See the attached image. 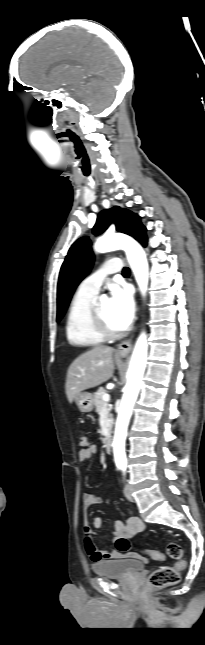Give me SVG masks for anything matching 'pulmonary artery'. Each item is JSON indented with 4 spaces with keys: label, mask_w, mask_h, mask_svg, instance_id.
<instances>
[{
    "label": "pulmonary artery",
    "mask_w": 205,
    "mask_h": 645,
    "mask_svg": "<svg viewBox=\"0 0 205 645\" xmlns=\"http://www.w3.org/2000/svg\"><path fill=\"white\" fill-rule=\"evenodd\" d=\"M122 266V261L118 258L107 260L100 269L82 281L78 290L84 293L96 295L106 277L110 274L120 272L122 270Z\"/></svg>",
    "instance_id": "1"
}]
</instances>
